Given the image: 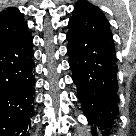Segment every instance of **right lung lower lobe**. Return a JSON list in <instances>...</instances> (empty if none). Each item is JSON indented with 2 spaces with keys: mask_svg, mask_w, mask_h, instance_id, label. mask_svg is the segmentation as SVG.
<instances>
[{
  "mask_svg": "<svg viewBox=\"0 0 136 136\" xmlns=\"http://www.w3.org/2000/svg\"><path fill=\"white\" fill-rule=\"evenodd\" d=\"M32 37L0 44V136H29L33 111Z\"/></svg>",
  "mask_w": 136,
  "mask_h": 136,
  "instance_id": "98d812e1",
  "label": "right lung lower lobe"
}]
</instances>
